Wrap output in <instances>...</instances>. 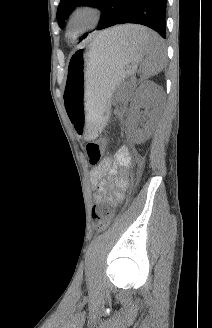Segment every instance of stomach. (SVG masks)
I'll return each instance as SVG.
<instances>
[{
	"label": "stomach",
	"mask_w": 212,
	"mask_h": 328,
	"mask_svg": "<svg viewBox=\"0 0 212 328\" xmlns=\"http://www.w3.org/2000/svg\"><path fill=\"white\" fill-rule=\"evenodd\" d=\"M143 52L130 40H92L70 57L64 85V104L76 134L95 139L109 116L110 96L121 81L133 75Z\"/></svg>",
	"instance_id": "obj_1"
}]
</instances>
